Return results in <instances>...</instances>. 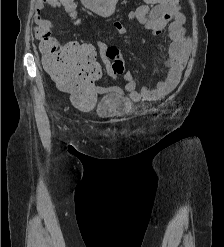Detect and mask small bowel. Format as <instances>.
<instances>
[{"instance_id": "small-bowel-1", "label": "small bowel", "mask_w": 224, "mask_h": 247, "mask_svg": "<svg viewBox=\"0 0 224 247\" xmlns=\"http://www.w3.org/2000/svg\"><path fill=\"white\" fill-rule=\"evenodd\" d=\"M61 1L62 0H36L35 2L36 35L40 39V50L44 55H47V49L44 41L40 38V34L42 31H49L54 24L43 17V11L46 6L53 8L61 7ZM81 1L88 9L100 17L108 18L114 13L117 0ZM175 1L177 2L169 7H150L148 4L140 5L128 14L130 20L138 22L154 35H159L168 27V39L171 43L164 61L166 73L163 79L155 86H145L140 91H137L135 79L132 73L128 71L123 76L124 88H114V92L120 95H126L130 100L138 102L141 100L159 99L170 93L177 86L189 56L191 41L186 34L184 26L186 17L179 7L180 0ZM112 24L119 34L126 33V28L121 21L114 19ZM96 47L103 54L108 48L103 42H98ZM108 71L115 77L111 68H109Z\"/></svg>"}]
</instances>
